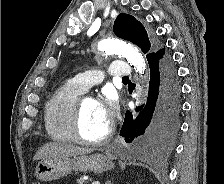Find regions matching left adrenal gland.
Returning a JSON list of instances; mask_svg holds the SVG:
<instances>
[{"label":"left adrenal gland","mask_w":224,"mask_h":184,"mask_svg":"<svg viewBox=\"0 0 224 184\" xmlns=\"http://www.w3.org/2000/svg\"><path fill=\"white\" fill-rule=\"evenodd\" d=\"M105 184H111V181H107Z\"/></svg>","instance_id":"a2214340"}]
</instances>
